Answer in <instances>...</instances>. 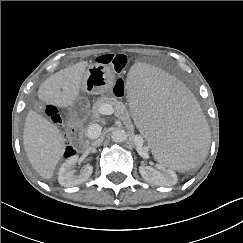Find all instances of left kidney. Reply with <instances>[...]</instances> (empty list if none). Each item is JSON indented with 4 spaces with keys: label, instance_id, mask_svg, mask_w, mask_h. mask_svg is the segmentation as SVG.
<instances>
[{
    "label": "left kidney",
    "instance_id": "5707ae66",
    "mask_svg": "<svg viewBox=\"0 0 243 243\" xmlns=\"http://www.w3.org/2000/svg\"><path fill=\"white\" fill-rule=\"evenodd\" d=\"M139 171L147 182L157 186H173L178 181L176 173L161 163L157 164L156 168L142 165L139 167Z\"/></svg>",
    "mask_w": 243,
    "mask_h": 243
}]
</instances>
